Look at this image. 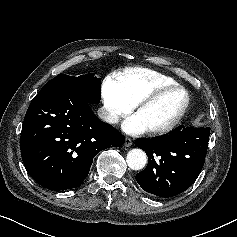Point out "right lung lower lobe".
Segmentation results:
<instances>
[{"label":"right lung lower lobe","mask_w":237,"mask_h":237,"mask_svg":"<svg viewBox=\"0 0 237 237\" xmlns=\"http://www.w3.org/2000/svg\"><path fill=\"white\" fill-rule=\"evenodd\" d=\"M124 142L125 137L100 121L79 95L40 90L24 118L21 154L27 172L38 184L67 190L81 185L97 153Z\"/></svg>","instance_id":"98d812e1"}]
</instances>
